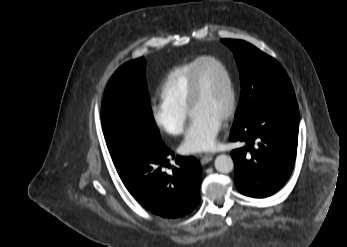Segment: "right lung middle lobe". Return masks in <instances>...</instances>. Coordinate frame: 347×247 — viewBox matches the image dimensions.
Returning a JSON list of instances; mask_svg holds the SVG:
<instances>
[{"mask_svg": "<svg viewBox=\"0 0 347 247\" xmlns=\"http://www.w3.org/2000/svg\"><path fill=\"white\" fill-rule=\"evenodd\" d=\"M145 65L144 57L125 63L105 89L101 123L111 156L127 141L142 143L153 150L164 144L150 107Z\"/></svg>", "mask_w": 347, "mask_h": 247, "instance_id": "right-lung-middle-lobe-1", "label": "right lung middle lobe"}]
</instances>
